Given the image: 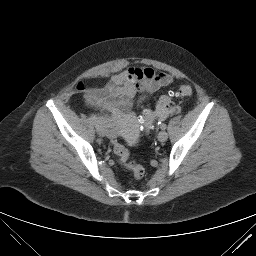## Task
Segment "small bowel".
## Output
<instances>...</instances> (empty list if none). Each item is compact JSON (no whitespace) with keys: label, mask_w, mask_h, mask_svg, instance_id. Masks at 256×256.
<instances>
[{"label":"small bowel","mask_w":256,"mask_h":256,"mask_svg":"<svg viewBox=\"0 0 256 256\" xmlns=\"http://www.w3.org/2000/svg\"><path fill=\"white\" fill-rule=\"evenodd\" d=\"M172 81L173 76L170 74H156L149 67H130L113 75L104 87L91 90L87 94V101L92 106L109 112L114 122L118 124L133 118V107L139 93L154 92ZM176 112L175 107L158 109L156 116L159 120H163Z\"/></svg>","instance_id":"obj_1"}]
</instances>
